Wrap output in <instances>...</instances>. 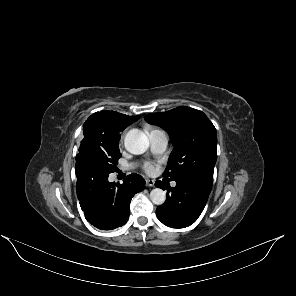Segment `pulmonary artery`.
I'll use <instances>...</instances> for the list:
<instances>
[{"label":"pulmonary artery","mask_w":296,"mask_h":296,"mask_svg":"<svg viewBox=\"0 0 296 296\" xmlns=\"http://www.w3.org/2000/svg\"><path fill=\"white\" fill-rule=\"evenodd\" d=\"M151 149L156 154H161L165 151L168 144V135L163 130H152L149 134ZM172 186H176V182H172Z\"/></svg>","instance_id":"pulmonary-artery-1"}]
</instances>
